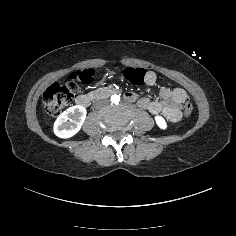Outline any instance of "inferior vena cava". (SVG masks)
I'll return each mask as SVG.
<instances>
[{
  "label": "inferior vena cava",
  "mask_w": 236,
  "mask_h": 236,
  "mask_svg": "<svg viewBox=\"0 0 236 236\" xmlns=\"http://www.w3.org/2000/svg\"><path fill=\"white\" fill-rule=\"evenodd\" d=\"M106 103V100H98L96 102H94V106H98V105H104Z\"/></svg>",
  "instance_id": "obj_1"
}]
</instances>
